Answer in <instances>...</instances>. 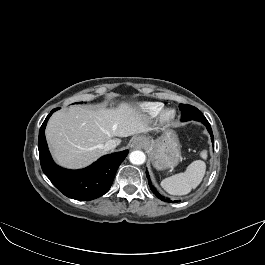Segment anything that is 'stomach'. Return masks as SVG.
Here are the masks:
<instances>
[{
    "label": "stomach",
    "mask_w": 265,
    "mask_h": 265,
    "mask_svg": "<svg viewBox=\"0 0 265 265\" xmlns=\"http://www.w3.org/2000/svg\"><path fill=\"white\" fill-rule=\"evenodd\" d=\"M143 146L152 156V164L158 170L175 167L181 159L180 144L177 135L169 130L158 139L150 136L140 138Z\"/></svg>",
    "instance_id": "obj_1"
}]
</instances>
